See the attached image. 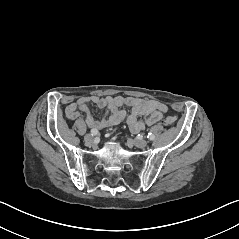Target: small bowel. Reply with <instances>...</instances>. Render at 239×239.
<instances>
[{"instance_id":"c3829d8e","label":"small bowel","mask_w":239,"mask_h":239,"mask_svg":"<svg viewBox=\"0 0 239 239\" xmlns=\"http://www.w3.org/2000/svg\"><path fill=\"white\" fill-rule=\"evenodd\" d=\"M93 103L99 108H105L107 113L101 119H95L88 111V104ZM131 108L127 115L122 106ZM168 111L165 104L149 99L123 96H84L68 104L65 113L68 119L82 118L91 129H104L119 124L126 118L132 132H140L146 126L157 123Z\"/></svg>"}]
</instances>
